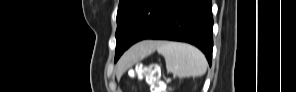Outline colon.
Segmentation results:
<instances>
[{"instance_id":"obj_1","label":"colon","mask_w":296,"mask_h":92,"mask_svg":"<svg viewBox=\"0 0 296 92\" xmlns=\"http://www.w3.org/2000/svg\"><path fill=\"white\" fill-rule=\"evenodd\" d=\"M135 74L137 77H144L151 85L159 84V68L157 65L139 67L135 70Z\"/></svg>"}]
</instances>
